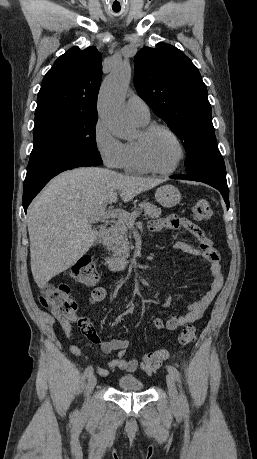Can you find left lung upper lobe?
I'll list each match as a JSON object with an SVG mask.
<instances>
[{
    "label": "left lung upper lobe",
    "instance_id": "5c2ea615",
    "mask_svg": "<svg viewBox=\"0 0 257 459\" xmlns=\"http://www.w3.org/2000/svg\"><path fill=\"white\" fill-rule=\"evenodd\" d=\"M134 84L139 96L183 142L188 174L226 171L216 143L206 85L182 51L164 43L142 48L135 56Z\"/></svg>",
    "mask_w": 257,
    "mask_h": 459
}]
</instances>
